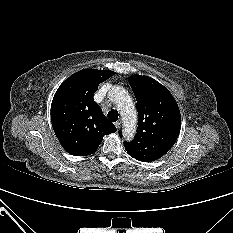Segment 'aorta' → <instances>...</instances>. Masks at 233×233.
I'll return each mask as SVG.
<instances>
[{"instance_id":"1","label":"aorta","mask_w":233,"mask_h":233,"mask_svg":"<svg viewBox=\"0 0 233 233\" xmlns=\"http://www.w3.org/2000/svg\"><path fill=\"white\" fill-rule=\"evenodd\" d=\"M109 95L122 116L124 137L132 139L136 130L137 112L131 97L121 86H114Z\"/></svg>"}]
</instances>
